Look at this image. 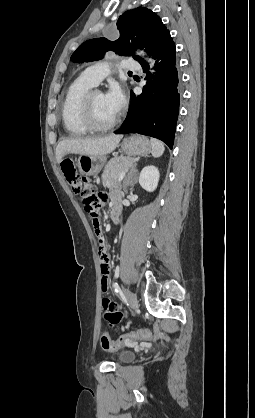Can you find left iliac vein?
I'll use <instances>...</instances> for the list:
<instances>
[{"mask_svg":"<svg viewBox=\"0 0 255 418\" xmlns=\"http://www.w3.org/2000/svg\"><path fill=\"white\" fill-rule=\"evenodd\" d=\"M130 306L132 309H136L138 307V300H137V296L136 294H134L133 292L129 291V290H123Z\"/></svg>","mask_w":255,"mask_h":418,"instance_id":"left-iliac-vein-1","label":"left iliac vein"}]
</instances>
